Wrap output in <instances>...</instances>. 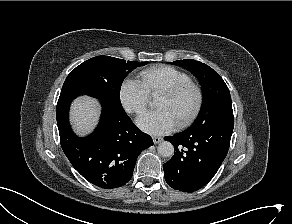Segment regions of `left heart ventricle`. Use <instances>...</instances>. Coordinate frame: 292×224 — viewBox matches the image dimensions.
<instances>
[{
	"instance_id": "obj_1",
	"label": "left heart ventricle",
	"mask_w": 292,
	"mask_h": 224,
	"mask_svg": "<svg viewBox=\"0 0 292 224\" xmlns=\"http://www.w3.org/2000/svg\"><path fill=\"white\" fill-rule=\"evenodd\" d=\"M195 101L196 95L194 91L188 90L176 98L158 96L155 101V107L168 111L177 124L189 114Z\"/></svg>"
}]
</instances>
